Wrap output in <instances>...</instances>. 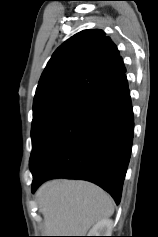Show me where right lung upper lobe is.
Masks as SVG:
<instances>
[{"label": "right lung upper lobe", "instance_id": "cb5924a9", "mask_svg": "<svg viewBox=\"0 0 158 237\" xmlns=\"http://www.w3.org/2000/svg\"><path fill=\"white\" fill-rule=\"evenodd\" d=\"M125 72L116 45L102 30L81 31L52 55L41 75L34 104L56 97L85 102Z\"/></svg>", "mask_w": 158, "mask_h": 237}]
</instances>
